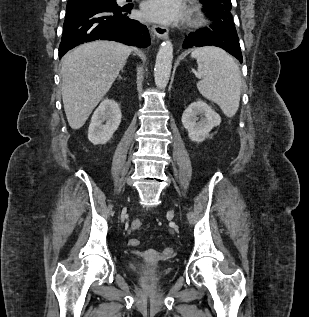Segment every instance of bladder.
I'll return each instance as SVG.
<instances>
[{"label": "bladder", "mask_w": 309, "mask_h": 317, "mask_svg": "<svg viewBox=\"0 0 309 317\" xmlns=\"http://www.w3.org/2000/svg\"><path fill=\"white\" fill-rule=\"evenodd\" d=\"M128 267L130 272L146 286H153L168 275L166 269L154 268L142 262H131Z\"/></svg>", "instance_id": "1"}]
</instances>
